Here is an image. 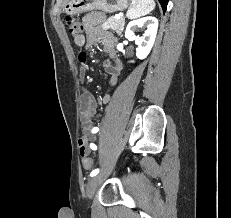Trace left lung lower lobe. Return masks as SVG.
<instances>
[{"mask_svg": "<svg viewBox=\"0 0 231 218\" xmlns=\"http://www.w3.org/2000/svg\"><path fill=\"white\" fill-rule=\"evenodd\" d=\"M158 1L160 2L162 6L163 12H165L169 0H158Z\"/></svg>", "mask_w": 231, "mask_h": 218, "instance_id": "1", "label": "left lung lower lobe"}]
</instances>
